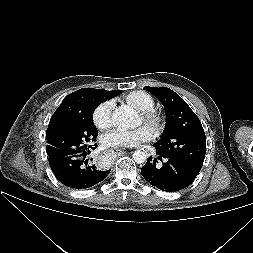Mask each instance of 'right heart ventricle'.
Segmentation results:
<instances>
[{
    "label": "right heart ventricle",
    "mask_w": 253,
    "mask_h": 253,
    "mask_svg": "<svg viewBox=\"0 0 253 253\" xmlns=\"http://www.w3.org/2000/svg\"><path fill=\"white\" fill-rule=\"evenodd\" d=\"M125 99L141 111L155 107V99L151 94L142 90H136L128 93Z\"/></svg>",
    "instance_id": "obj_1"
}]
</instances>
